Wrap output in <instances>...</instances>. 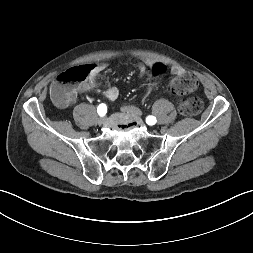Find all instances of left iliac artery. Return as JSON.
Returning <instances> with one entry per match:
<instances>
[{"label": "left iliac artery", "instance_id": "obj_1", "mask_svg": "<svg viewBox=\"0 0 253 253\" xmlns=\"http://www.w3.org/2000/svg\"><path fill=\"white\" fill-rule=\"evenodd\" d=\"M146 123L148 125H154L156 123V118L154 116H147Z\"/></svg>", "mask_w": 253, "mask_h": 253}]
</instances>
